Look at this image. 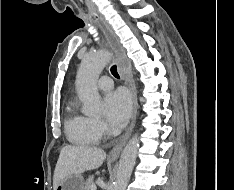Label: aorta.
<instances>
[{"label":"aorta","mask_w":234,"mask_h":190,"mask_svg":"<svg viewBox=\"0 0 234 190\" xmlns=\"http://www.w3.org/2000/svg\"><path fill=\"white\" fill-rule=\"evenodd\" d=\"M111 54L106 50L88 53L81 61L76 76V87L83 111L86 114H98L101 110L102 100L97 89V80L110 60ZM139 148L138 135H134L121 154L116 180L113 190H125L135 165Z\"/></svg>","instance_id":"1"}]
</instances>
